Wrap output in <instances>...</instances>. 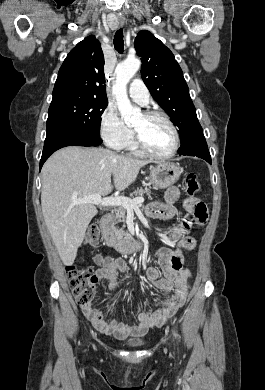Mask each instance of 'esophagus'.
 I'll list each match as a JSON object with an SVG mask.
<instances>
[{"instance_id":"1","label":"esophagus","mask_w":265,"mask_h":390,"mask_svg":"<svg viewBox=\"0 0 265 390\" xmlns=\"http://www.w3.org/2000/svg\"><path fill=\"white\" fill-rule=\"evenodd\" d=\"M117 22L120 26H122L124 24V18L123 17H119L117 18Z\"/></svg>"}]
</instances>
